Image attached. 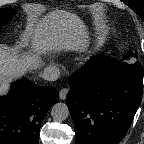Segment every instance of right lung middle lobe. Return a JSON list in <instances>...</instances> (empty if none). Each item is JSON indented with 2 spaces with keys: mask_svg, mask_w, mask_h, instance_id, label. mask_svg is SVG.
I'll return each mask as SVG.
<instances>
[{
  "mask_svg": "<svg viewBox=\"0 0 144 144\" xmlns=\"http://www.w3.org/2000/svg\"><path fill=\"white\" fill-rule=\"evenodd\" d=\"M14 16V11L12 9L6 10V9H1L0 10V29L2 25L10 20Z\"/></svg>",
  "mask_w": 144,
  "mask_h": 144,
  "instance_id": "right-lung-middle-lobe-1",
  "label": "right lung middle lobe"
}]
</instances>
